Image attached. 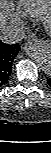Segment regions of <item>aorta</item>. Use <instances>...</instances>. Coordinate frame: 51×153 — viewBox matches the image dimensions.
I'll return each mask as SVG.
<instances>
[{
    "instance_id": "aorta-1",
    "label": "aorta",
    "mask_w": 51,
    "mask_h": 153,
    "mask_svg": "<svg viewBox=\"0 0 51 153\" xmlns=\"http://www.w3.org/2000/svg\"><path fill=\"white\" fill-rule=\"evenodd\" d=\"M28 52L33 59L39 64L41 69L46 73H51V51L41 43H29Z\"/></svg>"
}]
</instances>
